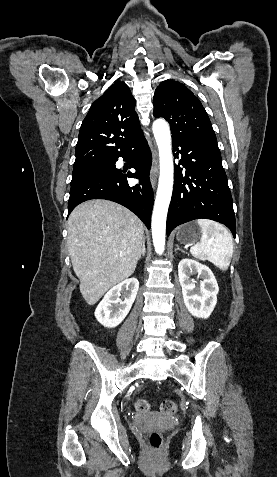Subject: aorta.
<instances>
[{
	"instance_id": "aorta-1",
	"label": "aorta",
	"mask_w": 277,
	"mask_h": 477,
	"mask_svg": "<svg viewBox=\"0 0 277 477\" xmlns=\"http://www.w3.org/2000/svg\"><path fill=\"white\" fill-rule=\"evenodd\" d=\"M153 133L159 150L160 176L152 215V238L155 251L162 254L165 247L166 218L173 190V157L170 128L163 119L153 123Z\"/></svg>"
}]
</instances>
